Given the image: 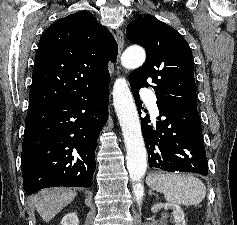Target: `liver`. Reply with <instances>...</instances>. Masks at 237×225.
<instances>
[{"instance_id": "1", "label": "liver", "mask_w": 237, "mask_h": 225, "mask_svg": "<svg viewBox=\"0 0 237 225\" xmlns=\"http://www.w3.org/2000/svg\"><path fill=\"white\" fill-rule=\"evenodd\" d=\"M76 195L77 193L70 188H49L35 194L32 202L43 221L49 222L71 203Z\"/></svg>"}]
</instances>
